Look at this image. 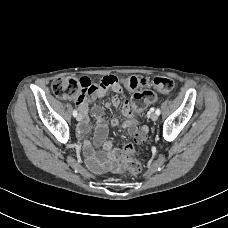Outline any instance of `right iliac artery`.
Segmentation results:
<instances>
[{
	"instance_id": "obj_1",
	"label": "right iliac artery",
	"mask_w": 228,
	"mask_h": 228,
	"mask_svg": "<svg viewBox=\"0 0 228 228\" xmlns=\"http://www.w3.org/2000/svg\"><path fill=\"white\" fill-rule=\"evenodd\" d=\"M73 116L76 117L77 116V111L73 110Z\"/></svg>"
}]
</instances>
